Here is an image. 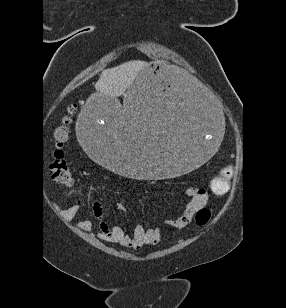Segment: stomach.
I'll list each match as a JSON object with an SVG mask.
<instances>
[{
    "label": "stomach",
    "instance_id": "stomach-1",
    "mask_svg": "<svg viewBox=\"0 0 286 308\" xmlns=\"http://www.w3.org/2000/svg\"><path fill=\"white\" fill-rule=\"evenodd\" d=\"M145 68L120 97L95 89L78 109V142L86 156L130 182H167L203 168L223 144L224 112L210 91L183 81L163 60Z\"/></svg>",
    "mask_w": 286,
    "mask_h": 308
}]
</instances>
